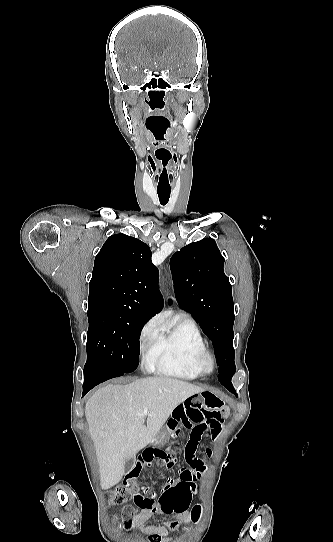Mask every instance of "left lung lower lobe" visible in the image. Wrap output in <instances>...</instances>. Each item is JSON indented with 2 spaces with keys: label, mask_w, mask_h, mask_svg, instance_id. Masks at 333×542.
Wrapping results in <instances>:
<instances>
[{
  "label": "left lung lower lobe",
  "mask_w": 333,
  "mask_h": 542,
  "mask_svg": "<svg viewBox=\"0 0 333 542\" xmlns=\"http://www.w3.org/2000/svg\"><path fill=\"white\" fill-rule=\"evenodd\" d=\"M229 391L235 394L234 388L231 384V381H221L219 380Z\"/></svg>",
  "instance_id": "obj_1"
}]
</instances>
